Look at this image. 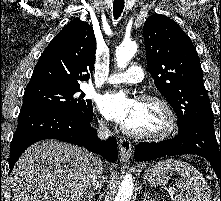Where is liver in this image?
<instances>
[{"label":"liver","instance_id":"liver-1","mask_svg":"<svg viewBox=\"0 0 221 201\" xmlns=\"http://www.w3.org/2000/svg\"><path fill=\"white\" fill-rule=\"evenodd\" d=\"M97 156L56 140L25 150L12 171V201H80L89 191Z\"/></svg>","mask_w":221,"mask_h":201}]
</instances>
